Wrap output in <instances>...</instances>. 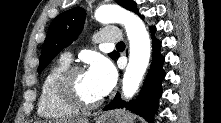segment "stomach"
Instances as JSON below:
<instances>
[{"mask_svg": "<svg viewBox=\"0 0 221 123\" xmlns=\"http://www.w3.org/2000/svg\"><path fill=\"white\" fill-rule=\"evenodd\" d=\"M95 123H133V117L125 110H116L101 114L95 119Z\"/></svg>", "mask_w": 221, "mask_h": 123, "instance_id": "1", "label": "stomach"}]
</instances>
